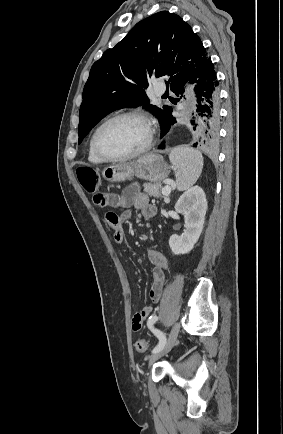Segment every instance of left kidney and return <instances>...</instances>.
Masks as SVG:
<instances>
[{"mask_svg":"<svg viewBox=\"0 0 283 434\" xmlns=\"http://www.w3.org/2000/svg\"><path fill=\"white\" fill-rule=\"evenodd\" d=\"M175 210L184 215L185 230L180 236L171 235L169 246L175 255L186 254L194 248L203 230L207 211L203 189L194 186L184 192L175 204Z\"/></svg>","mask_w":283,"mask_h":434,"instance_id":"1","label":"left kidney"}]
</instances>
